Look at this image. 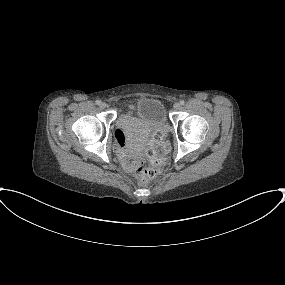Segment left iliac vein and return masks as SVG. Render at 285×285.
Returning <instances> with one entry per match:
<instances>
[{
  "instance_id": "left-iliac-vein-1",
  "label": "left iliac vein",
  "mask_w": 285,
  "mask_h": 285,
  "mask_svg": "<svg viewBox=\"0 0 285 285\" xmlns=\"http://www.w3.org/2000/svg\"><path fill=\"white\" fill-rule=\"evenodd\" d=\"M180 107H181L180 103H175V104L173 105V108H174L175 110H179Z\"/></svg>"
}]
</instances>
